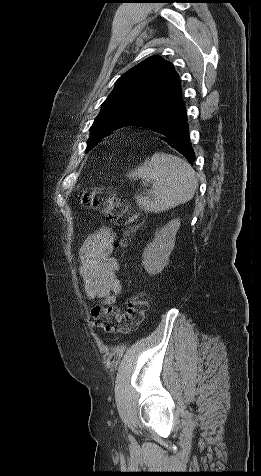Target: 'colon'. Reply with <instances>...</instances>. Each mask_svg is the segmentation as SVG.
<instances>
[{"mask_svg": "<svg viewBox=\"0 0 261 476\" xmlns=\"http://www.w3.org/2000/svg\"><path fill=\"white\" fill-rule=\"evenodd\" d=\"M78 202L126 228L118 240L119 246H125L130 235L142 224V219L110 189L95 187L84 190L78 195ZM147 309L148 299L144 294L130 296L123 313L114 306H94L91 309V326L106 333H128L143 322Z\"/></svg>", "mask_w": 261, "mask_h": 476, "instance_id": "obj_1", "label": "colon"}]
</instances>
